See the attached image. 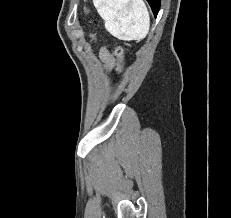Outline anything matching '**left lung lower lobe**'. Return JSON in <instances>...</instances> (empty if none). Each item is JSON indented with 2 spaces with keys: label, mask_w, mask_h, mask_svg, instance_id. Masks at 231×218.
Here are the masks:
<instances>
[{
  "label": "left lung lower lobe",
  "mask_w": 231,
  "mask_h": 218,
  "mask_svg": "<svg viewBox=\"0 0 231 218\" xmlns=\"http://www.w3.org/2000/svg\"><path fill=\"white\" fill-rule=\"evenodd\" d=\"M147 1L151 6L154 15L157 16L159 8H160V1L161 0H147Z\"/></svg>",
  "instance_id": "obj_1"
}]
</instances>
